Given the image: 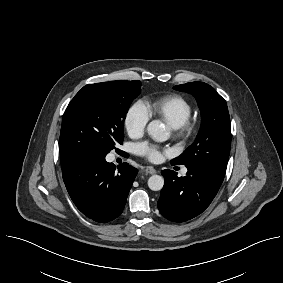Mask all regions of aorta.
I'll return each mask as SVG.
<instances>
[{
    "label": "aorta",
    "mask_w": 283,
    "mask_h": 283,
    "mask_svg": "<svg viewBox=\"0 0 283 283\" xmlns=\"http://www.w3.org/2000/svg\"><path fill=\"white\" fill-rule=\"evenodd\" d=\"M148 134L157 142H164L168 139V132L160 121L154 120L147 126ZM164 178L160 175H152L148 179V187L153 191H159L163 188Z\"/></svg>",
    "instance_id": "aorta-1"
}]
</instances>
